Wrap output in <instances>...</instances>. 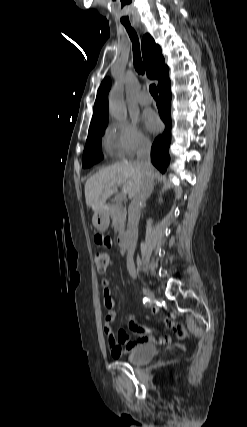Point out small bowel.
I'll use <instances>...</instances> for the list:
<instances>
[{
  "label": "small bowel",
  "mask_w": 247,
  "mask_h": 427,
  "mask_svg": "<svg viewBox=\"0 0 247 427\" xmlns=\"http://www.w3.org/2000/svg\"><path fill=\"white\" fill-rule=\"evenodd\" d=\"M96 245L100 246L105 250H109L112 247V239L106 235L105 232H98L95 237ZM103 286V303L106 308V314L104 317V330L107 335L108 343L111 348V353L114 357H119L123 353L130 352L138 344L148 343L154 341V335L150 328L139 325L134 315H128L126 318V323L128 327L138 334L137 341L133 342L129 339L126 331L124 329L118 330L117 333L114 332L113 322L115 320L116 314L114 311L115 301L111 296V291L109 288V280H102ZM158 311L155 310V313ZM165 324L176 334L179 339H184L187 335L185 328L178 322L177 318L174 315H169L164 319ZM159 341L163 344H169L171 338L169 336L160 337Z\"/></svg>",
  "instance_id": "1"
}]
</instances>
